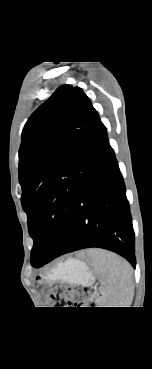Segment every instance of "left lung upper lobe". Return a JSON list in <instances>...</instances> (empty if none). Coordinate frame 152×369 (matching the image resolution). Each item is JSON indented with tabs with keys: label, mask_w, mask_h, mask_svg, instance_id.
<instances>
[{
	"label": "left lung upper lobe",
	"mask_w": 152,
	"mask_h": 369,
	"mask_svg": "<svg viewBox=\"0 0 152 369\" xmlns=\"http://www.w3.org/2000/svg\"><path fill=\"white\" fill-rule=\"evenodd\" d=\"M99 120L81 88L63 85L24 126L19 181L34 267L54 257L71 226L84 156Z\"/></svg>",
	"instance_id": "5c2ea615"
}]
</instances>
